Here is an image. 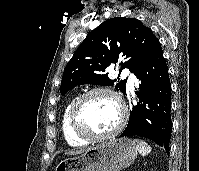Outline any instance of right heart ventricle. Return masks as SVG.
<instances>
[{
  "instance_id": "1",
  "label": "right heart ventricle",
  "mask_w": 199,
  "mask_h": 171,
  "mask_svg": "<svg viewBox=\"0 0 199 171\" xmlns=\"http://www.w3.org/2000/svg\"><path fill=\"white\" fill-rule=\"evenodd\" d=\"M75 99H71L66 106L64 107L62 116H61V131L63 134V137L65 141L70 145V146H82L86 144L87 140L80 138L76 136L71 128L70 124V111L72 104Z\"/></svg>"
}]
</instances>
